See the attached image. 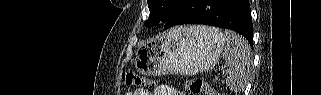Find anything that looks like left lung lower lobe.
<instances>
[{
	"mask_svg": "<svg viewBox=\"0 0 321 95\" xmlns=\"http://www.w3.org/2000/svg\"><path fill=\"white\" fill-rule=\"evenodd\" d=\"M181 24H205L234 30L252 45L253 27L249 0H181L164 29Z\"/></svg>",
	"mask_w": 321,
	"mask_h": 95,
	"instance_id": "0a47b994",
	"label": "left lung lower lobe"
}]
</instances>
